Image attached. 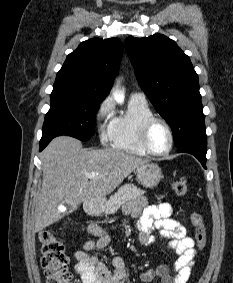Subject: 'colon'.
Instances as JSON below:
<instances>
[{
	"instance_id": "5ec220e1",
	"label": "colon",
	"mask_w": 233,
	"mask_h": 283,
	"mask_svg": "<svg viewBox=\"0 0 233 283\" xmlns=\"http://www.w3.org/2000/svg\"><path fill=\"white\" fill-rule=\"evenodd\" d=\"M172 188L177 195H185L188 190L184 179L175 180ZM191 223L195 231L196 247L200 251L206 244V231L203 218L198 212L191 214ZM41 265L44 269L47 283H73V277L68 269V257L63 244L49 231L39 234Z\"/></svg>"
}]
</instances>
